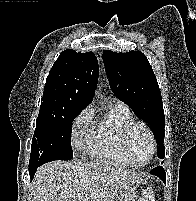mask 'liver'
<instances>
[{"instance_id": "liver-1", "label": "liver", "mask_w": 196, "mask_h": 201, "mask_svg": "<svg viewBox=\"0 0 196 201\" xmlns=\"http://www.w3.org/2000/svg\"><path fill=\"white\" fill-rule=\"evenodd\" d=\"M141 181L111 162L53 161L37 169L30 195L32 201H114L121 186Z\"/></svg>"}]
</instances>
